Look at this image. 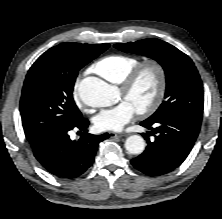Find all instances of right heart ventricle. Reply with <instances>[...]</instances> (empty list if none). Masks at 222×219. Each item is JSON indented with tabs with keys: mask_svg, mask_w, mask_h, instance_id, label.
I'll return each mask as SVG.
<instances>
[{
	"mask_svg": "<svg viewBox=\"0 0 222 219\" xmlns=\"http://www.w3.org/2000/svg\"><path fill=\"white\" fill-rule=\"evenodd\" d=\"M139 63L133 56L112 54L96 61L92 69L113 84H120L128 72Z\"/></svg>",
	"mask_w": 222,
	"mask_h": 219,
	"instance_id": "obj_1",
	"label": "right heart ventricle"
}]
</instances>
